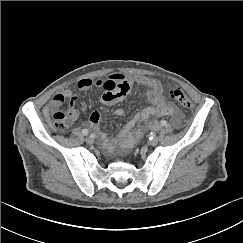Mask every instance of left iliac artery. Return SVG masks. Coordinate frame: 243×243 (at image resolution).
Segmentation results:
<instances>
[{
    "label": "left iliac artery",
    "mask_w": 243,
    "mask_h": 243,
    "mask_svg": "<svg viewBox=\"0 0 243 243\" xmlns=\"http://www.w3.org/2000/svg\"><path fill=\"white\" fill-rule=\"evenodd\" d=\"M160 125H161L162 127H164V126L167 125V122H166L165 120H161V121H160ZM154 137H156V136H155V133H151V136H150L149 139L151 140V139H153Z\"/></svg>",
    "instance_id": "1"
}]
</instances>
